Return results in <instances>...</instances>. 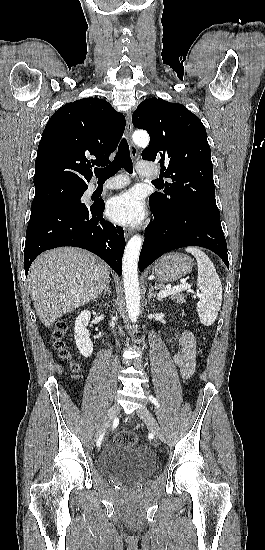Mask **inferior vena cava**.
<instances>
[{"label":"inferior vena cava","mask_w":265,"mask_h":550,"mask_svg":"<svg viewBox=\"0 0 265 550\" xmlns=\"http://www.w3.org/2000/svg\"><path fill=\"white\" fill-rule=\"evenodd\" d=\"M114 328V326H112ZM117 342V345L119 344V341H116Z\"/></svg>","instance_id":"inferior-vena-cava-1"}]
</instances>
